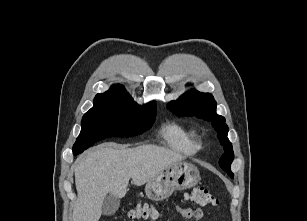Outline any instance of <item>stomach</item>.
Listing matches in <instances>:
<instances>
[{"label":"stomach","instance_id":"0dacf381","mask_svg":"<svg viewBox=\"0 0 307 221\" xmlns=\"http://www.w3.org/2000/svg\"><path fill=\"white\" fill-rule=\"evenodd\" d=\"M200 180L198 168L188 162H176L169 165L145 186L147 197L154 201L168 198L174 190L194 187Z\"/></svg>","mask_w":307,"mask_h":221}]
</instances>
